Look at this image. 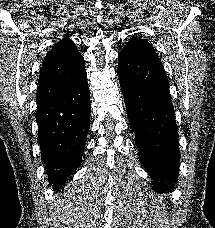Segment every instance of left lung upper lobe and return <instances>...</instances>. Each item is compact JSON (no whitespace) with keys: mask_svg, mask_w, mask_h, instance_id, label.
Here are the masks:
<instances>
[{"mask_svg":"<svg viewBox=\"0 0 215 228\" xmlns=\"http://www.w3.org/2000/svg\"><path fill=\"white\" fill-rule=\"evenodd\" d=\"M121 51L134 55H157L151 44L136 37H133Z\"/></svg>","mask_w":215,"mask_h":228,"instance_id":"5c2ea615","label":"left lung upper lobe"}]
</instances>
